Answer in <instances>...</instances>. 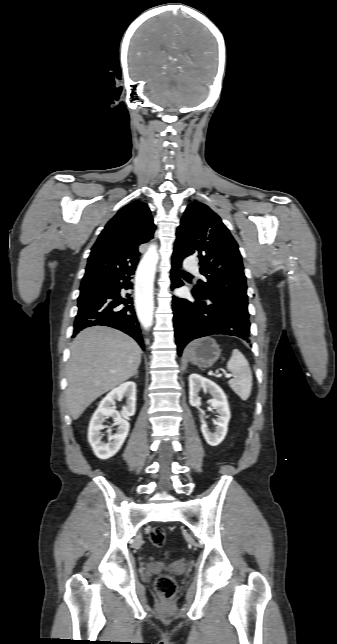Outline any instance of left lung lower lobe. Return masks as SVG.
Segmentation results:
<instances>
[{
    "label": "left lung lower lobe",
    "instance_id": "obj_1",
    "mask_svg": "<svg viewBox=\"0 0 337 644\" xmlns=\"http://www.w3.org/2000/svg\"><path fill=\"white\" fill-rule=\"evenodd\" d=\"M181 262L173 258L172 289L183 285L176 273ZM192 293L196 299L195 302L174 298L172 305L179 355L190 341L214 334L237 336L250 342L251 332L248 318L219 298L203 297L194 291Z\"/></svg>",
    "mask_w": 337,
    "mask_h": 644
}]
</instances>
